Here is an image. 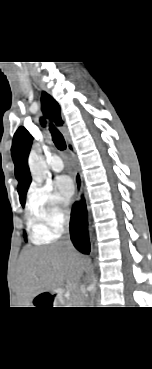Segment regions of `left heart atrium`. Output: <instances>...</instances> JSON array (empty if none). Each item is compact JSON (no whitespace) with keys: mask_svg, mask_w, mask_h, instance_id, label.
<instances>
[{"mask_svg":"<svg viewBox=\"0 0 152 369\" xmlns=\"http://www.w3.org/2000/svg\"><path fill=\"white\" fill-rule=\"evenodd\" d=\"M55 187L62 199L69 203L75 191L73 180L67 175L59 176L55 180Z\"/></svg>","mask_w":152,"mask_h":369,"instance_id":"left-heart-atrium-1","label":"left heart atrium"}]
</instances>
